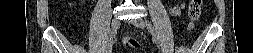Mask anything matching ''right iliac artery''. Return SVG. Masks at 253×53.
<instances>
[{
	"instance_id": "obj_1",
	"label": "right iliac artery",
	"mask_w": 253,
	"mask_h": 53,
	"mask_svg": "<svg viewBox=\"0 0 253 53\" xmlns=\"http://www.w3.org/2000/svg\"><path fill=\"white\" fill-rule=\"evenodd\" d=\"M112 41H113L112 37H109L106 53H110L111 52Z\"/></svg>"
}]
</instances>
